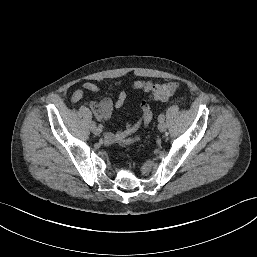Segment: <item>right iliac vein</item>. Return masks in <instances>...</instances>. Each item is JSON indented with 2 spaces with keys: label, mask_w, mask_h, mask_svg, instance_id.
<instances>
[{
  "label": "right iliac vein",
  "mask_w": 257,
  "mask_h": 257,
  "mask_svg": "<svg viewBox=\"0 0 257 257\" xmlns=\"http://www.w3.org/2000/svg\"><path fill=\"white\" fill-rule=\"evenodd\" d=\"M92 130H93V133H94L95 135H99V134L102 132V128L99 127V126L93 128Z\"/></svg>",
  "instance_id": "obj_1"
}]
</instances>
